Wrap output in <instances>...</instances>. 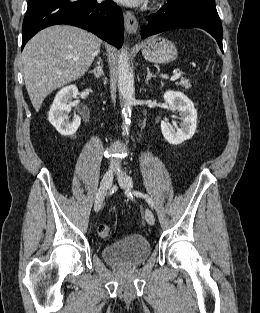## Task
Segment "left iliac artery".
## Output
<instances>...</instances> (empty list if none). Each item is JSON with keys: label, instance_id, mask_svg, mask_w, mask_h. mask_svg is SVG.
I'll use <instances>...</instances> for the list:
<instances>
[{"label": "left iliac artery", "instance_id": "obj_1", "mask_svg": "<svg viewBox=\"0 0 260 313\" xmlns=\"http://www.w3.org/2000/svg\"><path fill=\"white\" fill-rule=\"evenodd\" d=\"M133 193L137 197H143L147 201V203L150 205V207L153 208L154 203H153L152 199L147 194L139 192V191H134Z\"/></svg>", "mask_w": 260, "mask_h": 313}]
</instances>
